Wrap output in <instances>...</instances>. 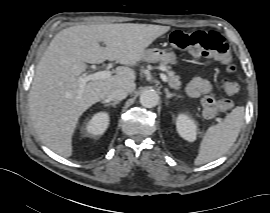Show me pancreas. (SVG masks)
Listing matches in <instances>:
<instances>
[{"label":"pancreas","instance_id":"1","mask_svg":"<svg viewBox=\"0 0 270 213\" xmlns=\"http://www.w3.org/2000/svg\"><path fill=\"white\" fill-rule=\"evenodd\" d=\"M160 68L166 69L169 86L174 90H179L181 88V81L179 76L176 75L175 72L171 70L170 66H166V64H161Z\"/></svg>","mask_w":270,"mask_h":213}]
</instances>
